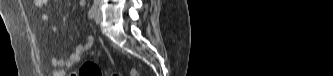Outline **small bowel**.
I'll return each mask as SVG.
<instances>
[{"instance_id":"1","label":"small bowel","mask_w":333,"mask_h":76,"mask_svg":"<svg viewBox=\"0 0 333 76\" xmlns=\"http://www.w3.org/2000/svg\"><path fill=\"white\" fill-rule=\"evenodd\" d=\"M38 5L45 6L48 1L46 0H37ZM84 1L80 2L81 5H84ZM41 19L43 21H49L50 16L48 13L43 12L41 14ZM55 29V27H53ZM94 38L93 36L89 35L86 39L85 43L79 44L76 46L74 51L67 59L53 57L51 59V66L53 68V76H64L66 74L65 69H69L73 67L76 63H78L82 56L91 49L93 46ZM70 76H82V72H78L76 68H73L70 72Z\"/></svg>"}]
</instances>
